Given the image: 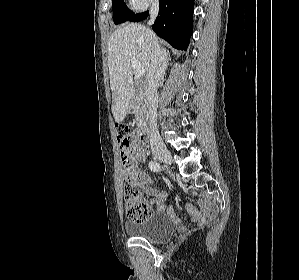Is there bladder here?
Returning a JSON list of instances; mask_svg holds the SVG:
<instances>
[{"mask_svg":"<svg viewBox=\"0 0 299 280\" xmlns=\"http://www.w3.org/2000/svg\"><path fill=\"white\" fill-rule=\"evenodd\" d=\"M125 231L132 237L159 242L171 236L174 231V221L168 214L157 212L144 221L127 222Z\"/></svg>","mask_w":299,"mask_h":280,"instance_id":"31cf9c89","label":"bladder"}]
</instances>
